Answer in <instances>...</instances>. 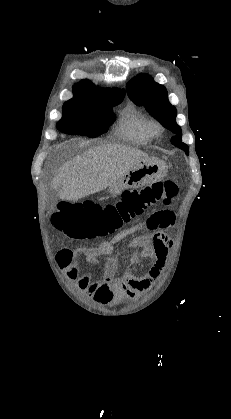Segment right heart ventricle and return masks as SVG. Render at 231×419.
<instances>
[{
	"mask_svg": "<svg viewBox=\"0 0 231 419\" xmlns=\"http://www.w3.org/2000/svg\"><path fill=\"white\" fill-rule=\"evenodd\" d=\"M151 121L142 113L126 110L119 123L118 134L136 143L148 142L152 137Z\"/></svg>",
	"mask_w": 231,
	"mask_h": 419,
	"instance_id": "right-heart-ventricle-1",
	"label": "right heart ventricle"
}]
</instances>
